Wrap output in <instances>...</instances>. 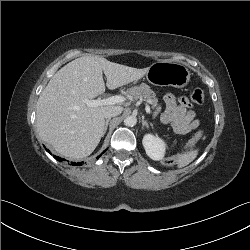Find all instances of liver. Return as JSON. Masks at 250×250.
Instances as JSON below:
<instances>
[{
  "label": "liver",
  "mask_w": 250,
  "mask_h": 250,
  "mask_svg": "<svg viewBox=\"0 0 250 250\" xmlns=\"http://www.w3.org/2000/svg\"><path fill=\"white\" fill-rule=\"evenodd\" d=\"M149 67L137 69L113 63L100 56L77 58L50 79L39 96L36 126L43 141L58 153L72 159L89 156L99 144L105 126V113L114 106L88 107L84 99L138 81Z\"/></svg>",
  "instance_id": "liver-1"
}]
</instances>
